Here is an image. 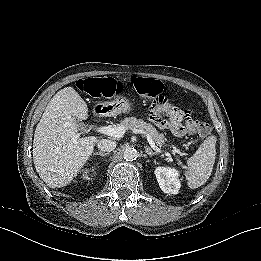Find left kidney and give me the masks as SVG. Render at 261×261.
<instances>
[{"label": "left kidney", "mask_w": 261, "mask_h": 261, "mask_svg": "<svg viewBox=\"0 0 261 261\" xmlns=\"http://www.w3.org/2000/svg\"><path fill=\"white\" fill-rule=\"evenodd\" d=\"M154 173L159 186L164 193L178 194L181 183L179 180L180 173L177 169L158 166Z\"/></svg>", "instance_id": "1"}]
</instances>
